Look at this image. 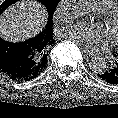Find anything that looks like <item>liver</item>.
Returning a JSON list of instances; mask_svg holds the SVG:
<instances>
[{
	"label": "liver",
	"instance_id": "1",
	"mask_svg": "<svg viewBox=\"0 0 118 118\" xmlns=\"http://www.w3.org/2000/svg\"><path fill=\"white\" fill-rule=\"evenodd\" d=\"M47 14L36 1L22 0L0 17V36L19 42L38 34L45 26Z\"/></svg>",
	"mask_w": 118,
	"mask_h": 118
}]
</instances>
